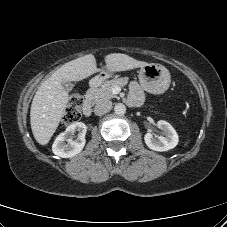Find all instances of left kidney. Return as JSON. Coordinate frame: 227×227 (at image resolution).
<instances>
[{
    "mask_svg": "<svg viewBox=\"0 0 227 227\" xmlns=\"http://www.w3.org/2000/svg\"><path fill=\"white\" fill-rule=\"evenodd\" d=\"M157 127L162 130L164 136L154 138L151 133H146L144 140L146 145L154 151L163 152L173 149L177 146L179 138L175 129L164 120L157 122Z\"/></svg>",
    "mask_w": 227,
    "mask_h": 227,
    "instance_id": "5707ae66",
    "label": "left kidney"
}]
</instances>
